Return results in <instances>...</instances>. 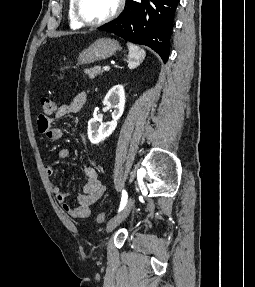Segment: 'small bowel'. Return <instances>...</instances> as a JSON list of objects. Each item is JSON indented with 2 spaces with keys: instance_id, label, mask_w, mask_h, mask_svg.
Wrapping results in <instances>:
<instances>
[{
  "instance_id": "c3829d8e",
  "label": "small bowel",
  "mask_w": 255,
  "mask_h": 287,
  "mask_svg": "<svg viewBox=\"0 0 255 287\" xmlns=\"http://www.w3.org/2000/svg\"><path fill=\"white\" fill-rule=\"evenodd\" d=\"M86 102V94H77L69 103L59 106L53 117L40 115L37 120L38 130L43 133L50 141H58L63 137V131L53 125L55 120H59L68 114L79 111ZM59 159L64 160L69 158L70 149L62 148L58 151ZM48 176L55 175V168L48 164L45 167ZM85 181L82 184V192L76 196V204L68 203L69 194L64 192L60 185L53 186V194L61 206L62 212L72 219L87 218L91 214L93 204L102 197L105 192V187L102 185L98 172L90 166L84 168Z\"/></svg>"
}]
</instances>
